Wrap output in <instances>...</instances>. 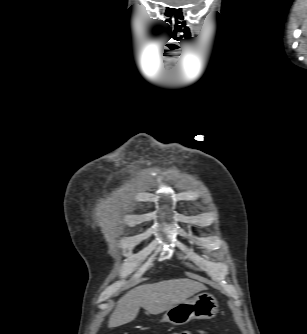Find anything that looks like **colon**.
Segmentation results:
<instances>
[{"label":"colon","mask_w":307,"mask_h":334,"mask_svg":"<svg viewBox=\"0 0 307 334\" xmlns=\"http://www.w3.org/2000/svg\"><path fill=\"white\" fill-rule=\"evenodd\" d=\"M123 334H129V333H123ZM173 334H183V333H173Z\"/></svg>","instance_id":"5ec220e1"}]
</instances>
